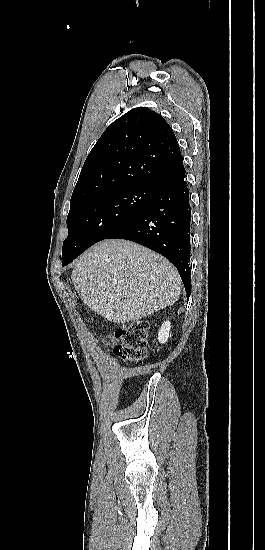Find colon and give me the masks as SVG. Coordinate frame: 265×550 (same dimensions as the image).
I'll use <instances>...</instances> for the list:
<instances>
[{"mask_svg": "<svg viewBox=\"0 0 265 550\" xmlns=\"http://www.w3.org/2000/svg\"><path fill=\"white\" fill-rule=\"evenodd\" d=\"M149 324L144 320H135L116 327L115 336L120 339L113 351L125 362H139L147 355V335Z\"/></svg>", "mask_w": 265, "mask_h": 550, "instance_id": "colon-1", "label": "colon"}]
</instances>
